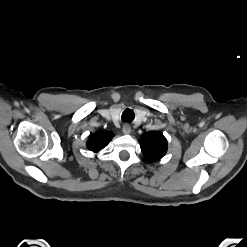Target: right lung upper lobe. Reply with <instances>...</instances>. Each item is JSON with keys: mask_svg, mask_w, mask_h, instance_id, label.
Masks as SVG:
<instances>
[{"mask_svg": "<svg viewBox=\"0 0 247 247\" xmlns=\"http://www.w3.org/2000/svg\"><path fill=\"white\" fill-rule=\"evenodd\" d=\"M113 133L111 132H96L89 136V141L87 142V147L89 150L98 152L103 146L107 145L113 138Z\"/></svg>", "mask_w": 247, "mask_h": 247, "instance_id": "right-lung-upper-lobe-1", "label": "right lung upper lobe"}]
</instances>
